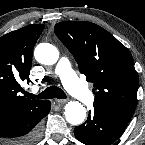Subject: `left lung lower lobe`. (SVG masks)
<instances>
[{
  "instance_id": "1",
  "label": "left lung lower lobe",
  "mask_w": 145,
  "mask_h": 145,
  "mask_svg": "<svg viewBox=\"0 0 145 145\" xmlns=\"http://www.w3.org/2000/svg\"><path fill=\"white\" fill-rule=\"evenodd\" d=\"M127 124L94 110L85 123L74 129L75 137L86 145H110L124 132Z\"/></svg>"
}]
</instances>
